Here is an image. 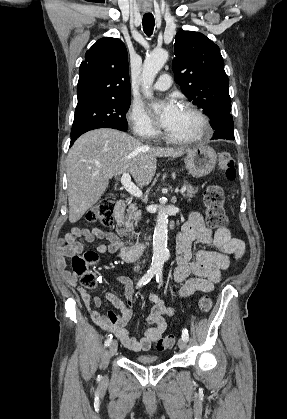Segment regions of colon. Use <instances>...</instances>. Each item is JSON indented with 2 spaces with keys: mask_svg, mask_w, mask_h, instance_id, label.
<instances>
[{
  "mask_svg": "<svg viewBox=\"0 0 287 419\" xmlns=\"http://www.w3.org/2000/svg\"><path fill=\"white\" fill-rule=\"evenodd\" d=\"M218 171L227 180H234L236 171L234 159L227 152H221L218 157ZM204 204L206 207L207 220L212 227H225L228 223L224 210V192L217 185H210L204 192ZM115 201L112 198L100 200L88 213L89 222L102 225H111L114 222ZM64 248L71 252L72 269L74 274L80 276L82 285L86 288H94L96 281L91 268L97 261V254L94 251L85 249L84 245L76 239H66ZM212 307V300L209 295L200 298L198 308L201 313H207ZM176 340L175 335L169 334L159 338L154 346L159 351L172 348Z\"/></svg>",
  "mask_w": 287,
  "mask_h": 419,
  "instance_id": "5ec220e1",
  "label": "colon"
}]
</instances>
